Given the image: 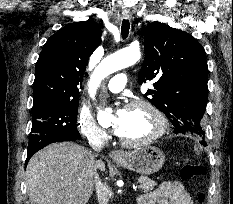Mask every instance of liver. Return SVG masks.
I'll return each instance as SVG.
<instances>
[{
    "instance_id": "liver-1",
    "label": "liver",
    "mask_w": 233,
    "mask_h": 204,
    "mask_svg": "<svg viewBox=\"0 0 233 204\" xmlns=\"http://www.w3.org/2000/svg\"><path fill=\"white\" fill-rule=\"evenodd\" d=\"M105 163L73 142L53 143L37 152L26 170L31 204H86L94 189V170Z\"/></svg>"
}]
</instances>
